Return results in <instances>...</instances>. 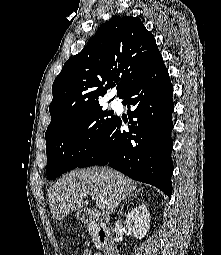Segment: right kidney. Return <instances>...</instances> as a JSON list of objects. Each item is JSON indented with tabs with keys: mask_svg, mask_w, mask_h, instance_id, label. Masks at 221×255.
Returning a JSON list of instances; mask_svg holds the SVG:
<instances>
[{
	"mask_svg": "<svg viewBox=\"0 0 221 255\" xmlns=\"http://www.w3.org/2000/svg\"><path fill=\"white\" fill-rule=\"evenodd\" d=\"M125 225L135 238L139 240L144 238L150 228V214L147 207L142 204L134 208L128 213Z\"/></svg>",
	"mask_w": 221,
	"mask_h": 255,
	"instance_id": "1",
	"label": "right kidney"
}]
</instances>
